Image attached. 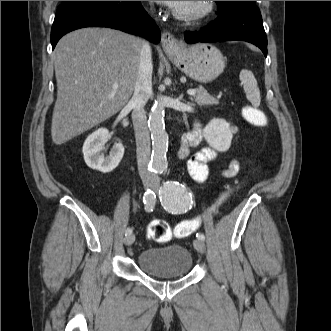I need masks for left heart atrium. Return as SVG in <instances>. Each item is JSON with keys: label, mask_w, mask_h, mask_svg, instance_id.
I'll return each mask as SVG.
<instances>
[{"label": "left heart atrium", "mask_w": 331, "mask_h": 331, "mask_svg": "<svg viewBox=\"0 0 331 331\" xmlns=\"http://www.w3.org/2000/svg\"><path fill=\"white\" fill-rule=\"evenodd\" d=\"M160 4L168 5L171 7H177V5L180 3V1H156Z\"/></svg>", "instance_id": "left-heart-atrium-1"}]
</instances>
